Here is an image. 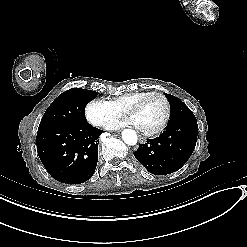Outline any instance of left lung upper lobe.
Here are the masks:
<instances>
[{
	"mask_svg": "<svg viewBox=\"0 0 247 247\" xmlns=\"http://www.w3.org/2000/svg\"><path fill=\"white\" fill-rule=\"evenodd\" d=\"M165 96L167 97L171 105V115L169 123H174L179 120H196L192 111L179 98L166 93Z\"/></svg>",
	"mask_w": 247,
	"mask_h": 247,
	"instance_id": "5c2ea615",
	"label": "left lung upper lobe"
}]
</instances>
